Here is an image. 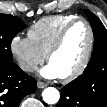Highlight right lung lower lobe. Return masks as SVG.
<instances>
[{"label":"right lung lower lobe","instance_id":"right-lung-lower-lobe-1","mask_svg":"<svg viewBox=\"0 0 107 107\" xmlns=\"http://www.w3.org/2000/svg\"><path fill=\"white\" fill-rule=\"evenodd\" d=\"M36 80L14 62H0V107H18L21 100L36 90Z\"/></svg>","mask_w":107,"mask_h":107}]
</instances>
